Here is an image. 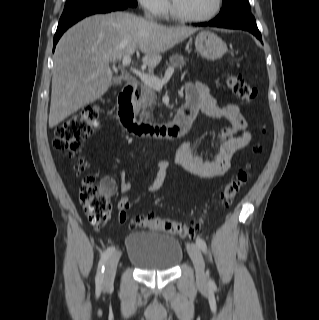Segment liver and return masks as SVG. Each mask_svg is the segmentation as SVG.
Segmentation results:
<instances>
[{"instance_id": "6515ba94", "label": "liver", "mask_w": 319, "mask_h": 320, "mask_svg": "<svg viewBox=\"0 0 319 320\" xmlns=\"http://www.w3.org/2000/svg\"><path fill=\"white\" fill-rule=\"evenodd\" d=\"M196 31L167 27L125 12L87 17L59 40L54 54L49 127L53 128L80 108L102 97L112 84L110 63L137 48L149 67Z\"/></svg>"}]
</instances>
